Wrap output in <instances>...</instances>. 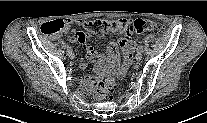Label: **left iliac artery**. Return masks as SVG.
I'll use <instances>...</instances> for the list:
<instances>
[{
  "instance_id": "obj_1",
  "label": "left iliac artery",
  "mask_w": 207,
  "mask_h": 123,
  "mask_svg": "<svg viewBox=\"0 0 207 123\" xmlns=\"http://www.w3.org/2000/svg\"><path fill=\"white\" fill-rule=\"evenodd\" d=\"M137 50L143 52V47L140 45L138 46Z\"/></svg>"
}]
</instances>
